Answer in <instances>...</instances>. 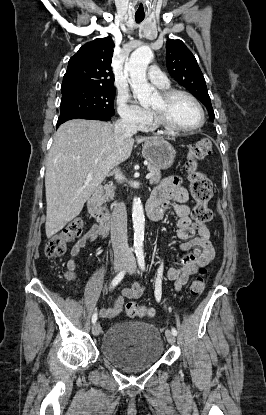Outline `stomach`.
<instances>
[{
    "label": "stomach",
    "mask_w": 266,
    "mask_h": 415,
    "mask_svg": "<svg viewBox=\"0 0 266 415\" xmlns=\"http://www.w3.org/2000/svg\"><path fill=\"white\" fill-rule=\"evenodd\" d=\"M142 154L152 166L165 170L173 164L176 152L168 141L150 140L143 145Z\"/></svg>",
    "instance_id": "stomach-1"
}]
</instances>
